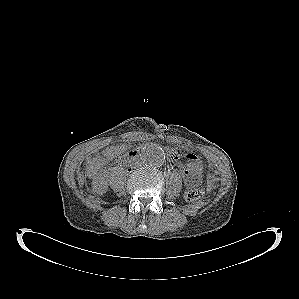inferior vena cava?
Wrapping results in <instances>:
<instances>
[{
    "label": "inferior vena cava",
    "instance_id": "inferior-vena-cava-1",
    "mask_svg": "<svg viewBox=\"0 0 299 299\" xmlns=\"http://www.w3.org/2000/svg\"><path fill=\"white\" fill-rule=\"evenodd\" d=\"M136 165H140V162H136Z\"/></svg>",
    "mask_w": 299,
    "mask_h": 299
}]
</instances>
